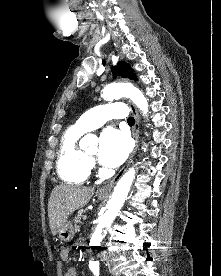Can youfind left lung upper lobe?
<instances>
[{"label": "left lung upper lobe", "instance_id": "left-lung-upper-lobe-1", "mask_svg": "<svg viewBox=\"0 0 221 276\" xmlns=\"http://www.w3.org/2000/svg\"><path fill=\"white\" fill-rule=\"evenodd\" d=\"M113 77L122 76L130 79H135L136 75L133 74V69L125 62H119L117 66L112 69Z\"/></svg>", "mask_w": 221, "mask_h": 276}]
</instances>
